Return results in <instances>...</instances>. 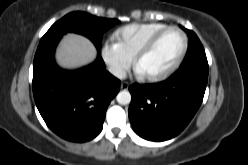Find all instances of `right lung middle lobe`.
<instances>
[{
    "mask_svg": "<svg viewBox=\"0 0 248 165\" xmlns=\"http://www.w3.org/2000/svg\"><path fill=\"white\" fill-rule=\"evenodd\" d=\"M119 22L117 19L99 18L79 11L72 12L55 22L40 43L54 37H61L67 32H75L88 37L100 51L103 33Z\"/></svg>",
    "mask_w": 248,
    "mask_h": 165,
    "instance_id": "dd1d6c3e",
    "label": "right lung middle lobe"
}]
</instances>
